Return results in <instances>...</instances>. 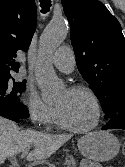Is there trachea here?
I'll return each instance as SVG.
<instances>
[{"label":"trachea","instance_id":"1","mask_svg":"<svg viewBox=\"0 0 125 167\" xmlns=\"http://www.w3.org/2000/svg\"><path fill=\"white\" fill-rule=\"evenodd\" d=\"M40 6L42 8V13L48 12L51 7V0H40Z\"/></svg>","mask_w":125,"mask_h":167}]
</instances>
